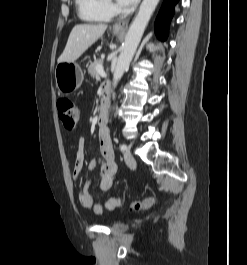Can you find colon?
<instances>
[{
    "mask_svg": "<svg viewBox=\"0 0 247 265\" xmlns=\"http://www.w3.org/2000/svg\"><path fill=\"white\" fill-rule=\"evenodd\" d=\"M59 117L68 130H75L77 128L80 119V109L78 106L69 99L62 98L57 102ZM117 200L121 203L124 202V198L119 196ZM154 204V198L148 197L143 200L133 201L130 204L131 209L140 211L150 208Z\"/></svg>",
    "mask_w": 247,
    "mask_h": 265,
    "instance_id": "obj_1",
    "label": "colon"
}]
</instances>
